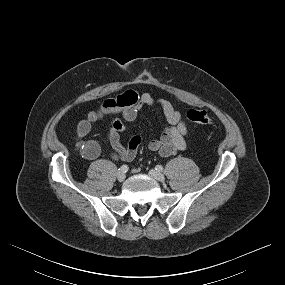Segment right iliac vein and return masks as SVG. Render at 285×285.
<instances>
[{"label":"right iliac vein","mask_w":285,"mask_h":285,"mask_svg":"<svg viewBox=\"0 0 285 285\" xmlns=\"http://www.w3.org/2000/svg\"><path fill=\"white\" fill-rule=\"evenodd\" d=\"M125 178H126V175H125L124 172L119 171V172L117 173V180H118L119 182L124 181Z\"/></svg>","instance_id":"1"}]
</instances>
